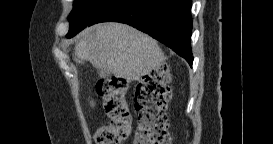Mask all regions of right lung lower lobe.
<instances>
[{
  "instance_id": "obj_1",
  "label": "right lung lower lobe",
  "mask_w": 273,
  "mask_h": 144,
  "mask_svg": "<svg viewBox=\"0 0 273 144\" xmlns=\"http://www.w3.org/2000/svg\"><path fill=\"white\" fill-rule=\"evenodd\" d=\"M191 0H111L88 22L131 25L166 44L192 66Z\"/></svg>"
}]
</instances>
